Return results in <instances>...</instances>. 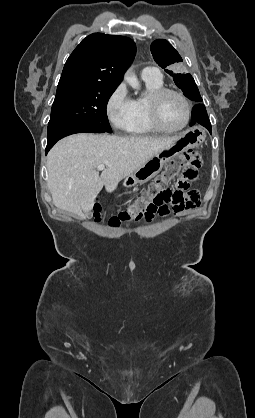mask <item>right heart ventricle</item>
<instances>
[{"mask_svg": "<svg viewBox=\"0 0 255 418\" xmlns=\"http://www.w3.org/2000/svg\"><path fill=\"white\" fill-rule=\"evenodd\" d=\"M148 91L145 97L134 100V113L131 126L128 130L133 135L154 134L157 130L152 126L148 112V97L156 90L163 88L161 80H144Z\"/></svg>", "mask_w": 255, "mask_h": 418, "instance_id": "1", "label": "right heart ventricle"}]
</instances>
